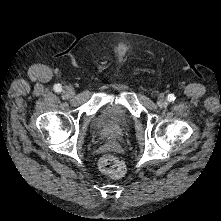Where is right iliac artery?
<instances>
[{"instance_id": "82829eb1", "label": "right iliac artery", "mask_w": 221, "mask_h": 221, "mask_svg": "<svg viewBox=\"0 0 221 221\" xmlns=\"http://www.w3.org/2000/svg\"><path fill=\"white\" fill-rule=\"evenodd\" d=\"M54 90L56 91V92H61V86L59 85V84H56L55 86H54Z\"/></svg>"}]
</instances>
